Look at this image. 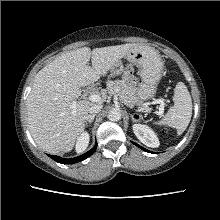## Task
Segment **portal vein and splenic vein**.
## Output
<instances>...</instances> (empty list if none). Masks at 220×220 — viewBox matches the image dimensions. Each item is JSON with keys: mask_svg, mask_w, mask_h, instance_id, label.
<instances>
[{"mask_svg": "<svg viewBox=\"0 0 220 220\" xmlns=\"http://www.w3.org/2000/svg\"><path fill=\"white\" fill-rule=\"evenodd\" d=\"M88 99L90 100V101H93V102H99L100 100H101V97L99 96V95H97V94H91V95H89L88 96ZM153 103H158V104H160V108H159V114H162L163 113V111H164V102H163V100H156L155 102H153ZM75 104H76V102L74 101L73 102V105L75 106ZM149 104H151V103H148L147 105H149Z\"/></svg>", "mask_w": 220, "mask_h": 220, "instance_id": "1", "label": "portal vein and splenic vein"}]
</instances>
